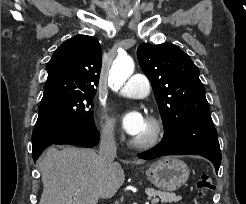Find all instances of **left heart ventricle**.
<instances>
[{
    "label": "left heart ventricle",
    "instance_id": "obj_1",
    "mask_svg": "<svg viewBox=\"0 0 246 204\" xmlns=\"http://www.w3.org/2000/svg\"><path fill=\"white\" fill-rule=\"evenodd\" d=\"M151 131H152V127L150 123L145 120L143 128L136 136H134V138L145 139L150 135Z\"/></svg>",
    "mask_w": 246,
    "mask_h": 204
}]
</instances>
